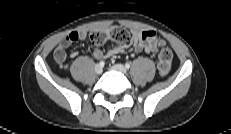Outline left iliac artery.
I'll list each match as a JSON object with an SVG mask.
<instances>
[{
    "label": "left iliac artery",
    "mask_w": 231,
    "mask_h": 134,
    "mask_svg": "<svg viewBox=\"0 0 231 134\" xmlns=\"http://www.w3.org/2000/svg\"><path fill=\"white\" fill-rule=\"evenodd\" d=\"M125 67H126L127 69H129V68H130V64H129V63H126V64H125Z\"/></svg>",
    "instance_id": "1"
}]
</instances>
